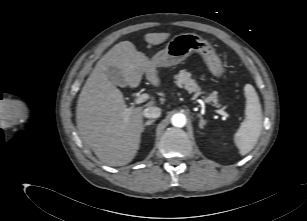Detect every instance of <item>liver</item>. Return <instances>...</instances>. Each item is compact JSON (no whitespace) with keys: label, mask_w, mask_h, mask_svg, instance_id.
I'll list each match as a JSON object with an SVG mask.
<instances>
[{"label":"liver","mask_w":307,"mask_h":221,"mask_svg":"<svg viewBox=\"0 0 307 221\" xmlns=\"http://www.w3.org/2000/svg\"><path fill=\"white\" fill-rule=\"evenodd\" d=\"M170 34L148 33L147 43L158 45ZM109 67L121 70L126 85L137 87L146 74L154 85H159L157 66L138 52L130 41L113 46L96 64L79 94L76 121L79 134L95 155L109 166L130 163L140 146L143 108L154 105L155 98L145 106L127 107L122 92L109 80Z\"/></svg>","instance_id":"1"}]
</instances>
